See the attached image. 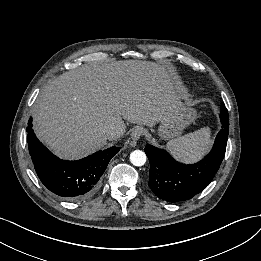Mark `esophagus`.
Returning a JSON list of instances; mask_svg holds the SVG:
<instances>
[{
	"mask_svg": "<svg viewBox=\"0 0 261 261\" xmlns=\"http://www.w3.org/2000/svg\"><path fill=\"white\" fill-rule=\"evenodd\" d=\"M144 134V129L142 127H135L131 132V139L133 142L138 141L141 136Z\"/></svg>",
	"mask_w": 261,
	"mask_h": 261,
	"instance_id": "1",
	"label": "esophagus"
}]
</instances>
